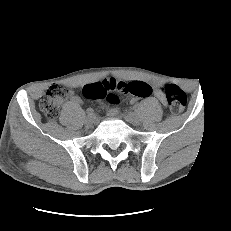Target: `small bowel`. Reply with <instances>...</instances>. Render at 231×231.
Instances as JSON below:
<instances>
[{"label": "small bowel", "mask_w": 231, "mask_h": 231, "mask_svg": "<svg viewBox=\"0 0 231 231\" xmlns=\"http://www.w3.org/2000/svg\"><path fill=\"white\" fill-rule=\"evenodd\" d=\"M150 88H151L152 92L154 93L155 97L158 98L161 102L165 103L164 93H163V90L160 87V85H158L157 83H153L150 86ZM139 98L140 97L133 95V97L131 98V101L132 102H136ZM70 101L72 103H76V104H78V103L81 102L80 98L77 95H75V94H72L70 96ZM116 113H117V109L116 108L109 109V114L110 115H114Z\"/></svg>", "instance_id": "small-bowel-1"}]
</instances>
